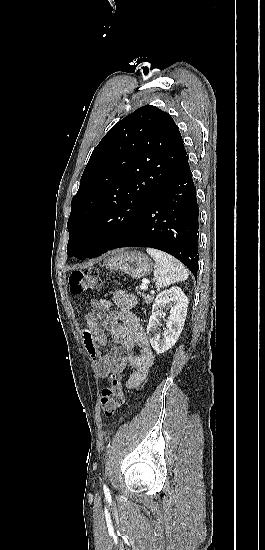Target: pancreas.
<instances>
[{
  "label": "pancreas",
  "mask_w": 265,
  "mask_h": 550,
  "mask_svg": "<svg viewBox=\"0 0 265 550\" xmlns=\"http://www.w3.org/2000/svg\"><path fill=\"white\" fill-rule=\"evenodd\" d=\"M138 295H140L143 298L144 303H146V304H150L154 299V297L152 295H146V294H142L140 292H138Z\"/></svg>",
  "instance_id": "pancreas-1"
}]
</instances>
